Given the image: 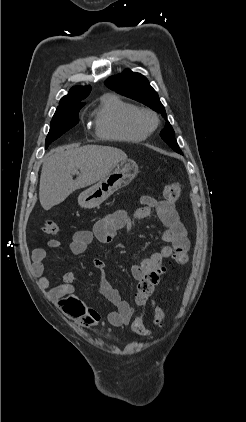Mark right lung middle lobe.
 I'll return each mask as SVG.
<instances>
[{"label": "right lung middle lobe", "instance_id": "right-lung-middle-lobe-1", "mask_svg": "<svg viewBox=\"0 0 246 422\" xmlns=\"http://www.w3.org/2000/svg\"><path fill=\"white\" fill-rule=\"evenodd\" d=\"M85 104L58 107L50 125V131L45 141L47 148L54 140L63 135L79 122L78 113Z\"/></svg>", "mask_w": 246, "mask_h": 422}]
</instances>
